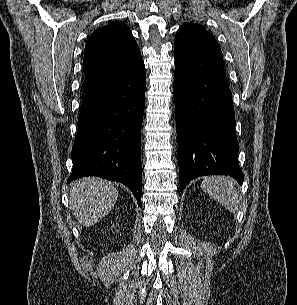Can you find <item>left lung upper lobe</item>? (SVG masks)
Masks as SVG:
<instances>
[{
	"mask_svg": "<svg viewBox=\"0 0 297 305\" xmlns=\"http://www.w3.org/2000/svg\"><path fill=\"white\" fill-rule=\"evenodd\" d=\"M175 64L189 73H215L224 71L223 54L206 28L185 23L174 40Z\"/></svg>",
	"mask_w": 297,
	"mask_h": 305,
	"instance_id": "obj_1",
	"label": "left lung upper lobe"
}]
</instances>
